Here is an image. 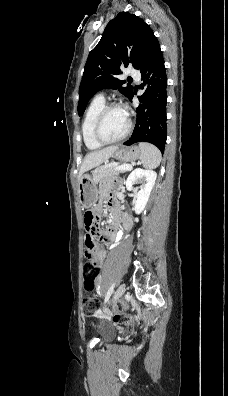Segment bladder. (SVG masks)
<instances>
[{"label": "bladder", "instance_id": "obj_1", "mask_svg": "<svg viewBox=\"0 0 228 396\" xmlns=\"http://www.w3.org/2000/svg\"><path fill=\"white\" fill-rule=\"evenodd\" d=\"M98 335L101 340H109L115 336V329L111 326H105L98 329Z\"/></svg>", "mask_w": 228, "mask_h": 396}]
</instances>
